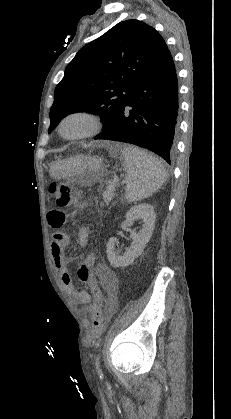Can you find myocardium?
I'll return each instance as SVG.
<instances>
[{
    "label": "myocardium",
    "instance_id": "myocardium-1",
    "mask_svg": "<svg viewBox=\"0 0 231 419\" xmlns=\"http://www.w3.org/2000/svg\"><path fill=\"white\" fill-rule=\"evenodd\" d=\"M77 117L86 120L88 122V128L80 134L66 135L63 131L64 124L69 119L77 118ZM101 128H102V122H101L100 117L97 114L90 111H86V110H74L67 113L61 118L58 124V133L62 138L68 141H77V140L87 139L96 135L97 133L100 132Z\"/></svg>",
    "mask_w": 231,
    "mask_h": 419
}]
</instances>
